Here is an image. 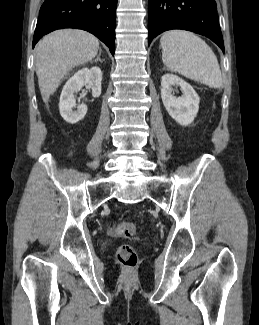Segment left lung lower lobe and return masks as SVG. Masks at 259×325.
Masks as SVG:
<instances>
[{"label":"left lung lower lobe","mask_w":259,"mask_h":325,"mask_svg":"<svg viewBox=\"0 0 259 325\" xmlns=\"http://www.w3.org/2000/svg\"><path fill=\"white\" fill-rule=\"evenodd\" d=\"M171 29L206 36L224 51L215 0H149V44L154 37Z\"/></svg>","instance_id":"1"}]
</instances>
